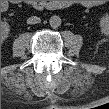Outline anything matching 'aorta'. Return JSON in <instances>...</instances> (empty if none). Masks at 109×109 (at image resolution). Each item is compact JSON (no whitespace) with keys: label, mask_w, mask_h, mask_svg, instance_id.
<instances>
[{"label":"aorta","mask_w":109,"mask_h":109,"mask_svg":"<svg viewBox=\"0 0 109 109\" xmlns=\"http://www.w3.org/2000/svg\"><path fill=\"white\" fill-rule=\"evenodd\" d=\"M49 23L51 27L57 28L61 25V18L57 15H53L50 17Z\"/></svg>","instance_id":"1"}]
</instances>
